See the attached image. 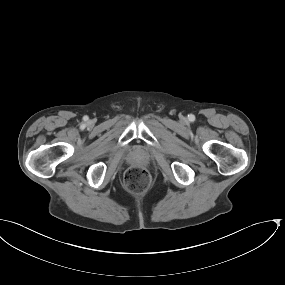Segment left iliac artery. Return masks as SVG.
Here are the masks:
<instances>
[{"label": "left iliac artery", "mask_w": 285, "mask_h": 285, "mask_svg": "<svg viewBox=\"0 0 285 285\" xmlns=\"http://www.w3.org/2000/svg\"><path fill=\"white\" fill-rule=\"evenodd\" d=\"M195 120V116L194 115H189V121H194Z\"/></svg>", "instance_id": "left-iliac-artery-1"}]
</instances>
